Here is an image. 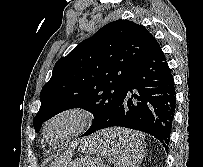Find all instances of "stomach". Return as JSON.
I'll return each mask as SVG.
<instances>
[{
	"label": "stomach",
	"instance_id": "1",
	"mask_svg": "<svg viewBox=\"0 0 203 167\" xmlns=\"http://www.w3.org/2000/svg\"><path fill=\"white\" fill-rule=\"evenodd\" d=\"M116 129H110L107 131H104L96 136L93 141L95 142H105L108 141L106 139L101 140L102 138H106V136L109 134V131H114ZM136 147V146H135ZM92 148H89L88 152H91ZM140 154L139 151H137V155ZM67 167H106L102 164V162L98 159H95L90 156H82L80 158H77L76 160L72 161L70 164H68Z\"/></svg>",
	"mask_w": 203,
	"mask_h": 167
}]
</instances>
